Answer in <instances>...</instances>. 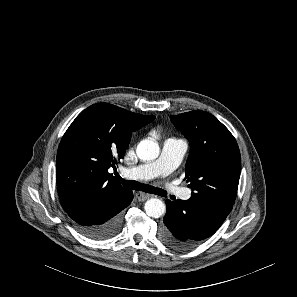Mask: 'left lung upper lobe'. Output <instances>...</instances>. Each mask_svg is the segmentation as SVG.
I'll use <instances>...</instances> for the list:
<instances>
[{
    "label": "left lung upper lobe",
    "mask_w": 297,
    "mask_h": 297,
    "mask_svg": "<svg viewBox=\"0 0 297 297\" xmlns=\"http://www.w3.org/2000/svg\"><path fill=\"white\" fill-rule=\"evenodd\" d=\"M171 121L190 142L186 163L190 199L233 206L241 171V156L230 131L201 110L171 115Z\"/></svg>",
    "instance_id": "obj_1"
}]
</instances>
